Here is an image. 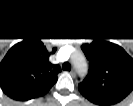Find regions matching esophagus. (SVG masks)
Returning <instances> with one entry per match:
<instances>
[{"label": "esophagus", "instance_id": "obj_1", "mask_svg": "<svg viewBox=\"0 0 133 106\" xmlns=\"http://www.w3.org/2000/svg\"><path fill=\"white\" fill-rule=\"evenodd\" d=\"M70 74H71L72 77H76V70L75 69H72L70 71Z\"/></svg>", "mask_w": 133, "mask_h": 106}]
</instances>
